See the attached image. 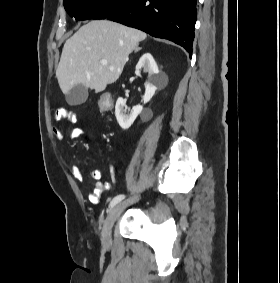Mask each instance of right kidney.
Listing matches in <instances>:
<instances>
[{"label":"right kidney","mask_w":280,"mask_h":283,"mask_svg":"<svg viewBox=\"0 0 280 283\" xmlns=\"http://www.w3.org/2000/svg\"><path fill=\"white\" fill-rule=\"evenodd\" d=\"M141 69H143L144 73H148L149 79L143 97V102L145 104L153 97L158 86L167 81V77L159 72L158 66L150 53L143 54L137 63L135 71L137 76H141ZM124 107L125 101L119 97L116 101L115 116L120 127L126 130L133 124L143 107L141 105L134 106L128 114H126V109H124Z\"/></svg>","instance_id":"obj_1"}]
</instances>
